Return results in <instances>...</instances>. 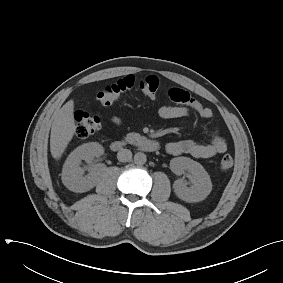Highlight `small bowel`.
<instances>
[{
  "instance_id": "obj_1",
  "label": "small bowel",
  "mask_w": 283,
  "mask_h": 283,
  "mask_svg": "<svg viewBox=\"0 0 283 283\" xmlns=\"http://www.w3.org/2000/svg\"><path fill=\"white\" fill-rule=\"evenodd\" d=\"M168 94L174 104L163 105L159 108V116L163 119L182 118L187 116L190 111H195L204 119H210L213 116L210 108L203 106L183 89L171 88ZM111 121L115 125L121 124V119L116 116L112 117ZM165 148L167 153L174 156L189 154L195 158L207 159L224 153L227 150V142L218 130H214L208 143H200L192 139H182L167 143Z\"/></svg>"
}]
</instances>
